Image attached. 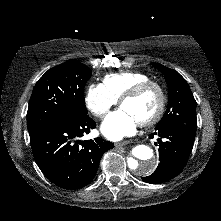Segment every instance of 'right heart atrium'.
Returning <instances> with one entry per match:
<instances>
[{"label": "right heart atrium", "mask_w": 221, "mask_h": 221, "mask_svg": "<svg viewBox=\"0 0 221 221\" xmlns=\"http://www.w3.org/2000/svg\"><path fill=\"white\" fill-rule=\"evenodd\" d=\"M118 100L101 84H91L87 88L85 103L88 110L96 117H105Z\"/></svg>", "instance_id": "d8ad5b80"}]
</instances>
